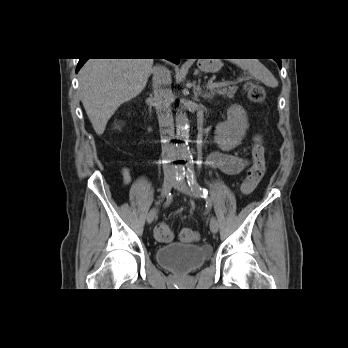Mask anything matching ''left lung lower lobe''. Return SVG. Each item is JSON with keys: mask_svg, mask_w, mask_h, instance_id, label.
Wrapping results in <instances>:
<instances>
[{"mask_svg": "<svg viewBox=\"0 0 348 348\" xmlns=\"http://www.w3.org/2000/svg\"><path fill=\"white\" fill-rule=\"evenodd\" d=\"M275 61L278 63L279 67L281 68V60L278 59V60H275Z\"/></svg>", "mask_w": 348, "mask_h": 348, "instance_id": "left-lung-lower-lobe-1", "label": "left lung lower lobe"}]
</instances>
